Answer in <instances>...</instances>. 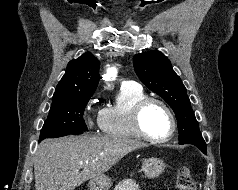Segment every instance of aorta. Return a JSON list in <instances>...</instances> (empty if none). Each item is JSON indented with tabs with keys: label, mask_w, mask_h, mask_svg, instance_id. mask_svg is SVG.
I'll return each mask as SVG.
<instances>
[{
	"label": "aorta",
	"mask_w": 238,
	"mask_h": 190,
	"mask_svg": "<svg viewBox=\"0 0 238 190\" xmlns=\"http://www.w3.org/2000/svg\"><path fill=\"white\" fill-rule=\"evenodd\" d=\"M107 73L110 77H112V79H115L117 71L115 68H109Z\"/></svg>",
	"instance_id": "1"
}]
</instances>
